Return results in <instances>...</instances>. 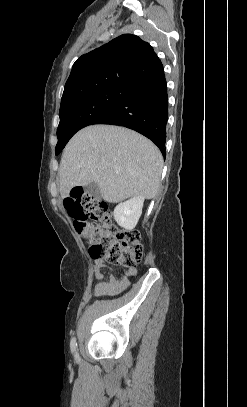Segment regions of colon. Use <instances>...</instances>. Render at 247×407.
<instances>
[{
    "instance_id": "colon-1",
    "label": "colon",
    "mask_w": 247,
    "mask_h": 407,
    "mask_svg": "<svg viewBox=\"0 0 247 407\" xmlns=\"http://www.w3.org/2000/svg\"><path fill=\"white\" fill-rule=\"evenodd\" d=\"M64 207L73 218L77 232L89 243V253L93 258H104L112 265L128 269L141 262V234L136 230L119 229L105 202L74 189L65 199Z\"/></svg>"
}]
</instances>
